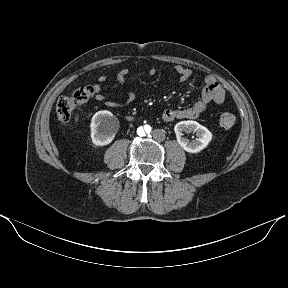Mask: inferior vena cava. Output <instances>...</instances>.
Listing matches in <instances>:
<instances>
[{"mask_svg": "<svg viewBox=\"0 0 288 288\" xmlns=\"http://www.w3.org/2000/svg\"><path fill=\"white\" fill-rule=\"evenodd\" d=\"M151 138H152V140L155 141V142H161V141H163L164 138H165V133H164V131L161 130V129H155V130H153L152 133H151Z\"/></svg>", "mask_w": 288, "mask_h": 288, "instance_id": "obj_1", "label": "inferior vena cava"}]
</instances>
